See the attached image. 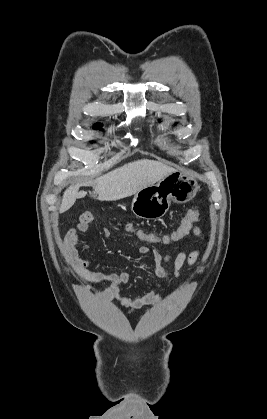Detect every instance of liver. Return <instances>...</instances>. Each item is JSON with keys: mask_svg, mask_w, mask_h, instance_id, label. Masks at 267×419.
I'll use <instances>...</instances> for the list:
<instances>
[{"mask_svg": "<svg viewBox=\"0 0 267 419\" xmlns=\"http://www.w3.org/2000/svg\"><path fill=\"white\" fill-rule=\"evenodd\" d=\"M174 169L154 160L141 159L127 163L107 174L91 180L87 185L94 188L100 201H116L136 194L143 187L159 182ZM80 185H72L63 194L60 213L69 210L76 199L83 198L85 191H79Z\"/></svg>", "mask_w": 267, "mask_h": 419, "instance_id": "6515ba94", "label": "liver"}]
</instances>
